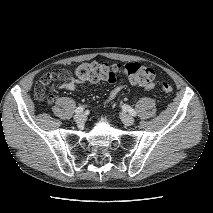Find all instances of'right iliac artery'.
<instances>
[{
	"label": "right iliac artery",
	"instance_id": "right-iliac-artery-1",
	"mask_svg": "<svg viewBox=\"0 0 213 213\" xmlns=\"http://www.w3.org/2000/svg\"><path fill=\"white\" fill-rule=\"evenodd\" d=\"M84 110V106H79L76 108L75 113H81Z\"/></svg>",
	"mask_w": 213,
	"mask_h": 213
}]
</instances>
